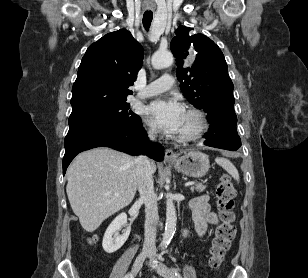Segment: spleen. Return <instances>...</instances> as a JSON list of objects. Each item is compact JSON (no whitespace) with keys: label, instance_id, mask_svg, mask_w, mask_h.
Masks as SVG:
<instances>
[{"label":"spleen","instance_id":"spleen-1","mask_svg":"<svg viewBox=\"0 0 308 278\" xmlns=\"http://www.w3.org/2000/svg\"><path fill=\"white\" fill-rule=\"evenodd\" d=\"M215 162L221 166L225 171H227L235 180L239 181V173L232 162L224 157H218Z\"/></svg>","mask_w":308,"mask_h":278}]
</instances>
